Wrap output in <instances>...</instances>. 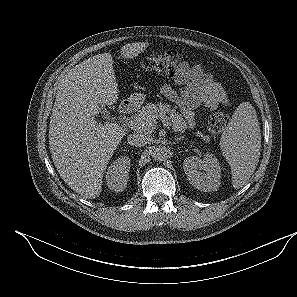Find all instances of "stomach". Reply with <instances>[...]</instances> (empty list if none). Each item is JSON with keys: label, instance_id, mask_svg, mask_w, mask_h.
<instances>
[{"label": "stomach", "instance_id": "1", "mask_svg": "<svg viewBox=\"0 0 297 297\" xmlns=\"http://www.w3.org/2000/svg\"><path fill=\"white\" fill-rule=\"evenodd\" d=\"M129 100L136 104H142L145 100V95L143 93H135L131 95Z\"/></svg>", "mask_w": 297, "mask_h": 297}]
</instances>
